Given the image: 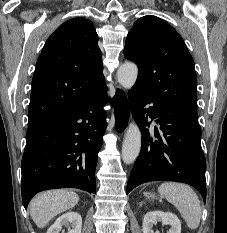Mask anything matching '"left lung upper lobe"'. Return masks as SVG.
<instances>
[{
  "mask_svg": "<svg viewBox=\"0 0 227 233\" xmlns=\"http://www.w3.org/2000/svg\"><path fill=\"white\" fill-rule=\"evenodd\" d=\"M124 57L138 65L135 90L198 121L194 61L171 25L156 16L138 19L128 33Z\"/></svg>",
  "mask_w": 227,
  "mask_h": 233,
  "instance_id": "1",
  "label": "left lung upper lobe"
}]
</instances>
